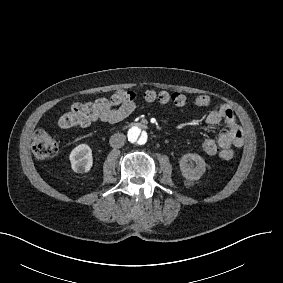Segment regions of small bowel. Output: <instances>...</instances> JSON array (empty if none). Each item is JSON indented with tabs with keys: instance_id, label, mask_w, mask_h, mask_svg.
<instances>
[{
	"instance_id": "1",
	"label": "small bowel",
	"mask_w": 283,
	"mask_h": 283,
	"mask_svg": "<svg viewBox=\"0 0 283 283\" xmlns=\"http://www.w3.org/2000/svg\"><path fill=\"white\" fill-rule=\"evenodd\" d=\"M129 92L118 89L112 93L111 99L119 101V104H111L105 107L100 115V120L105 123H118L126 119L135 109V104L127 101L125 97ZM197 105L202 107L211 106L213 101L208 95H198L195 98ZM206 124L218 125L223 123L225 130L220 132L218 139L222 144V149L218 155L224 161L231 160L234 155V148L244 144L242 128L238 124L231 107L227 104H220L211 110L206 116Z\"/></svg>"
}]
</instances>
